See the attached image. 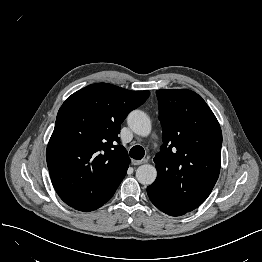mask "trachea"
<instances>
[{
	"label": "trachea",
	"instance_id": "3493384b",
	"mask_svg": "<svg viewBox=\"0 0 262 262\" xmlns=\"http://www.w3.org/2000/svg\"><path fill=\"white\" fill-rule=\"evenodd\" d=\"M129 155L136 160H141L145 155V151L143 147L137 145L131 148Z\"/></svg>",
	"mask_w": 262,
	"mask_h": 262
}]
</instances>
